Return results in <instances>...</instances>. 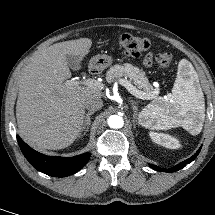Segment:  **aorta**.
<instances>
[{"mask_svg": "<svg viewBox=\"0 0 215 215\" xmlns=\"http://www.w3.org/2000/svg\"><path fill=\"white\" fill-rule=\"evenodd\" d=\"M108 125L109 127L115 128V129L122 128L124 125L123 118L118 115H111L108 118Z\"/></svg>", "mask_w": 215, "mask_h": 215, "instance_id": "1", "label": "aorta"}]
</instances>
